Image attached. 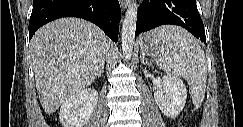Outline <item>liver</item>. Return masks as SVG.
<instances>
[{
    "instance_id": "obj_1",
    "label": "liver",
    "mask_w": 243,
    "mask_h": 127,
    "mask_svg": "<svg viewBox=\"0 0 243 127\" xmlns=\"http://www.w3.org/2000/svg\"><path fill=\"white\" fill-rule=\"evenodd\" d=\"M109 40L83 19L61 18L40 28L30 42L36 88L47 114L91 85L102 65Z\"/></svg>"
}]
</instances>
